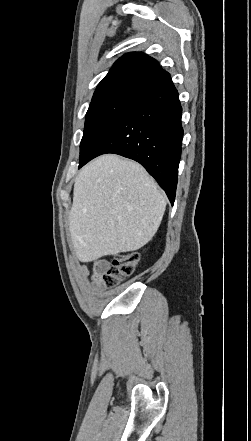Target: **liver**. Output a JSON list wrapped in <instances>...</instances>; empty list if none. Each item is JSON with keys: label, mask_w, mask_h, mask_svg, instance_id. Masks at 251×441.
<instances>
[{"label": "liver", "mask_w": 251, "mask_h": 441, "mask_svg": "<svg viewBox=\"0 0 251 441\" xmlns=\"http://www.w3.org/2000/svg\"><path fill=\"white\" fill-rule=\"evenodd\" d=\"M166 198L138 163L102 155L79 172L69 213V230L77 258L90 262L131 252L157 232Z\"/></svg>", "instance_id": "1"}]
</instances>
